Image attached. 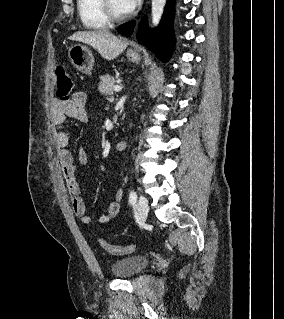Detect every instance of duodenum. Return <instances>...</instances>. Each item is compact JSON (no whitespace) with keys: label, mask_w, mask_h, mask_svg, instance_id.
<instances>
[{"label":"duodenum","mask_w":284,"mask_h":319,"mask_svg":"<svg viewBox=\"0 0 284 319\" xmlns=\"http://www.w3.org/2000/svg\"><path fill=\"white\" fill-rule=\"evenodd\" d=\"M115 148L118 151H122L126 148V141L125 140H120L115 144Z\"/></svg>","instance_id":"410a0bca"}]
</instances>
